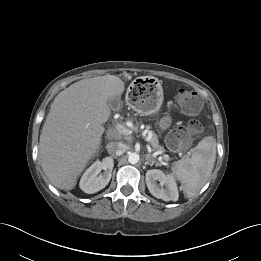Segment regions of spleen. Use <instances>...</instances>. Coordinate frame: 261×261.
Here are the masks:
<instances>
[{
  "label": "spleen",
  "mask_w": 261,
  "mask_h": 261,
  "mask_svg": "<svg viewBox=\"0 0 261 261\" xmlns=\"http://www.w3.org/2000/svg\"><path fill=\"white\" fill-rule=\"evenodd\" d=\"M215 159L216 140L208 136L191 150V157L174 163L173 175L180 181L181 189L187 197L196 195L205 185L214 168Z\"/></svg>",
  "instance_id": "3e777b00"
}]
</instances>
